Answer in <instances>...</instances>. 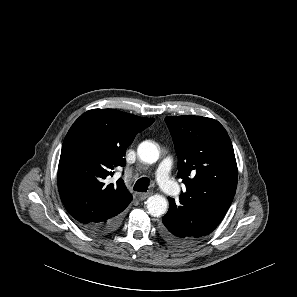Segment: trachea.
<instances>
[{
	"label": "trachea",
	"instance_id": "trachea-1",
	"mask_svg": "<svg viewBox=\"0 0 297 297\" xmlns=\"http://www.w3.org/2000/svg\"><path fill=\"white\" fill-rule=\"evenodd\" d=\"M149 187V179L146 177L140 178L136 181L134 185V190L136 191H147Z\"/></svg>",
	"mask_w": 297,
	"mask_h": 297
}]
</instances>
